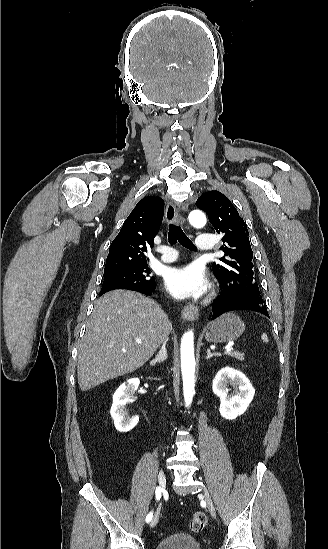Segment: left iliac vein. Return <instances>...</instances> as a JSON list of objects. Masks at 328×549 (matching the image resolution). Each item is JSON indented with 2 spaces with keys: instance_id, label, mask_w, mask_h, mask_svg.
<instances>
[{
  "instance_id": "4c4485c4",
  "label": "left iliac vein",
  "mask_w": 328,
  "mask_h": 549,
  "mask_svg": "<svg viewBox=\"0 0 328 549\" xmlns=\"http://www.w3.org/2000/svg\"><path fill=\"white\" fill-rule=\"evenodd\" d=\"M202 494L204 496V500L207 504V507H208L211 515L215 518L216 511H215V506H214V503H213V500H212V497H211L210 493L204 488V490L202 491Z\"/></svg>"
}]
</instances>
